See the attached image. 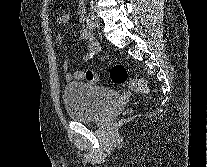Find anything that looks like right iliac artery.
I'll return each instance as SVG.
<instances>
[{
  "mask_svg": "<svg viewBox=\"0 0 207 167\" xmlns=\"http://www.w3.org/2000/svg\"><path fill=\"white\" fill-rule=\"evenodd\" d=\"M86 24H87V28L90 31H92L93 27H94V23H93V17H92V15L90 13L87 16Z\"/></svg>",
  "mask_w": 207,
  "mask_h": 167,
  "instance_id": "obj_1",
  "label": "right iliac artery"
}]
</instances>
